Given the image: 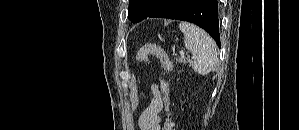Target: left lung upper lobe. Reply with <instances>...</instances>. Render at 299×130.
Here are the masks:
<instances>
[{
	"label": "left lung upper lobe",
	"instance_id": "5c2ea615",
	"mask_svg": "<svg viewBox=\"0 0 299 130\" xmlns=\"http://www.w3.org/2000/svg\"><path fill=\"white\" fill-rule=\"evenodd\" d=\"M149 0H130L128 17L132 22H139L149 9Z\"/></svg>",
	"mask_w": 299,
	"mask_h": 130
}]
</instances>
